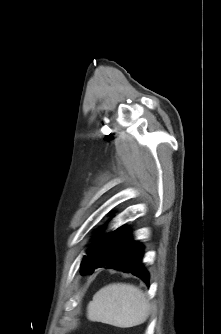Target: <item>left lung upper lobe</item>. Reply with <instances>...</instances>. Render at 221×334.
Masks as SVG:
<instances>
[{"label":"left lung upper lobe","instance_id":"5c2ea615","mask_svg":"<svg viewBox=\"0 0 221 334\" xmlns=\"http://www.w3.org/2000/svg\"><path fill=\"white\" fill-rule=\"evenodd\" d=\"M98 240L92 245V247L88 250V256H85V258L83 259L82 263H81V268L84 267H88L90 266L93 261H94V257H93V252L95 250V247L98 244Z\"/></svg>","mask_w":221,"mask_h":334}]
</instances>
